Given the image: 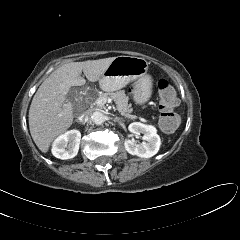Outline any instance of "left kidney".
Listing matches in <instances>:
<instances>
[{
    "label": "left kidney",
    "instance_id": "left-kidney-1",
    "mask_svg": "<svg viewBox=\"0 0 240 240\" xmlns=\"http://www.w3.org/2000/svg\"><path fill=\"white\" fill-rule=\"evenodd\" d=\"M128 129L136 136H139L141 133L144 134L141 144H137L135 140H125L124 147L129 154L141 158H150L157 154L161 145V140L154 126L133 122L129 125Z\"/></svg>",
    "mask_w": 240,
    "mask_h": 240
}]
</instances>
